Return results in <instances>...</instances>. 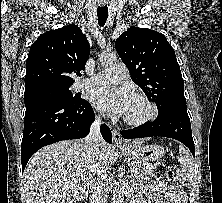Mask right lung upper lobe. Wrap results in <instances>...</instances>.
<instances>
[{
  "label": "right lung upper lobe",
  "mask_w": 222,
  "mask_h": 203,
  "mask_svg": "<svg viewBox=\"0 0 222 203\" xmlns=\"http://www.w3.org/2000/svg\"><path fill=\"white\" fill-rule=\"evenodd\" d=\"M90 54L85 34L75 24L48 31L31 45L26 61L25 93L71 86V74L80 75Z\"/></svg>",
  "instance_id": "obj_1"
}]
</instances>
